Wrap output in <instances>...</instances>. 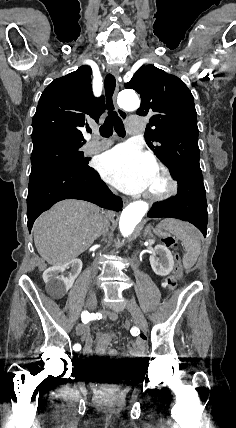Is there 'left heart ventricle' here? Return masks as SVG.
<instances>
[{
  "instance_id": "obj_1",
  "label": "left heart ventricle",
  "mask_w": 236,
  "mask_h": 428,
  "mask_svg": "<svg viewBox=\"0 0 236 428\" xmlns=\"http://www.w3.org/2000/svg\"><path fill=\"white\" fill-rule=\"evenodd\" d=\"M164 188H165V183L162 177L158 173L154 172V175L146 191L159 192V191H162Z\"/></svg>"
}]
</instances>
